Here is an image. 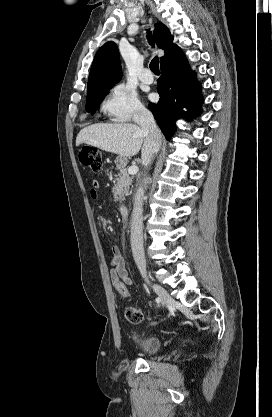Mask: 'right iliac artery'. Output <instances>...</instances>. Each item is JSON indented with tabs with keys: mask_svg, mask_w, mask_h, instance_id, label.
Wrapping results in <instances>:
<instances>
[{
	"mask_svg": "<svg viewBox=\"0 0 272 417\" xmlns=\"http://www.w3.org/2000/svg\"><path fill=\"white\" fill-rule=\"evenodd\" d=\"M156 302L159 303L160 302V299L159 298H156Z\"/></svg>",
	"mask_w": 272,
	"mask_h": 417,
	"instance_id": "82829eb1",
	"label": "right iliac artery"
}]
</instances>
